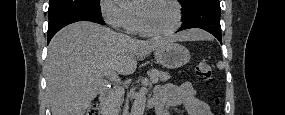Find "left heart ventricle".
<instances>
[{"mask_svg":"<svg viewBox=\"0 0 285 115\" xmlns=\"http://www.w3.org/2000/svg\"><path fill=\"white\" fill-rule=\"evenodd\" d=\"M146 28L152 31H166L175 26L173 6L166 1L142 2L136 7Z\"/></svg>","mask_w":285,"mask_h":115,"instance_id":"b2bd125f","label":"left heart ventricle"}]
</instances>
